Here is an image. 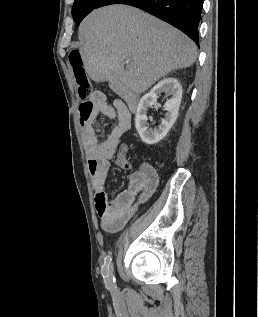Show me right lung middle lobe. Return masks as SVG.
<instances>
[{"instance_id":"right-lung-middle-lobe-1","label":"right lung middle lobe","mask_w":258,"mask_h":317,"mask_svg":"<svg viewBox=\"0 0 258 317\" xmlns=\"http://www.w3.org/2000/svg\"><path fill=\"white\" fill-rule=\"evenodd\" d=\"M86 1L87 0H75L72 7V16L74 20L76 19L79 11L81 10Z\"/></svg>"}]
</instances>
